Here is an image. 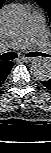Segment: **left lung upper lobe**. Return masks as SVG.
I'll return each instance as SVG.
<instances>
[{"instance_id": "left-lung-upper-lobe-1", "label": "left lung upper lobe", "mask_w": 51, "mask_h": 153, "mask_svg": "<svg viewBox=\"0 0 51 153\" xmlns=\"http://www.w3.org/2000/svg\"><path fill=\"white\" fill-rule=\"evenodd\" d=\"M38 5H40L48 13L51 21V0H34Z\"/></svg>"}]
</instances>
